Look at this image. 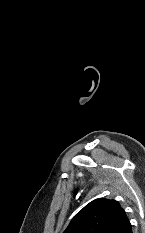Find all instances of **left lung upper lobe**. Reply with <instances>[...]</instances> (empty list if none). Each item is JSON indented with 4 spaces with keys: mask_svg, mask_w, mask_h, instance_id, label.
Segmentation results:
<instances>
[{
    "mask_svg": "<svg viewBox=\"0 0 145 233\" xmlns=\"http://www.w3.org/2000/svg\"><path fill=\"white\" fill-rule=\"evenodd\" d=\"M64 233H132V225L117 201L99 198L77 213Z\"/></svg>",
    "mask_w": 145,
    "mask_h": 233,
    "instance_id": "5c2ea615",
    "label": "left lung upper lobe"
}]
</instances>
